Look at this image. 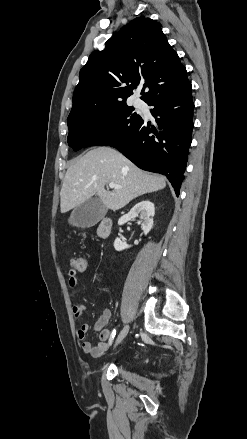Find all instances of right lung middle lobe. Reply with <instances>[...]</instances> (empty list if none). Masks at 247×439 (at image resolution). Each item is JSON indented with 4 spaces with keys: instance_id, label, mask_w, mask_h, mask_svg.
Returning <instances> with one entry per match:
<instances>
[{
    "instance_id": "1",
    "label": "right lung middle lobe",
    "mask_w": 247,
    "mask_h": 439,
    "mask_svg": "<svg viewBox=\"0 0 247 439\" xmlns=\"http://www.w3.org/2000/svg\"><path fill=\"white\" fill-rule=\"evenodd\" d=\"M142 117L126 101L98 106L68 117V144L78 151L83 147L107 146L124 136Z\"/></svg>"
}]
</instances>
